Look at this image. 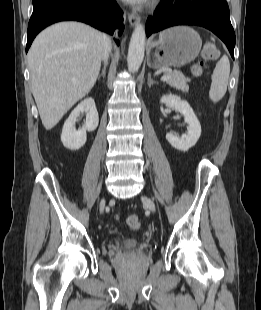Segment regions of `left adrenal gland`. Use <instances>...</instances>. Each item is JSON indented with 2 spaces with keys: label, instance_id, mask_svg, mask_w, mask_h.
<instances>
[{
  "label": "left adrenal gland",
  "instance_id": "a2214340",
  "mask_svg": "<svg viewBox=\"0 0 261 310\" xmlns=\"http://www.w3.org/2000/svg\"><path fill=\"white\" fill-rule=\"evenodd\" d=\"M154 84H158L156 81H154L151 77V74H148V87H151Z\"/></svg>",
  "mask_w": 261,
  "mask_h": 310
}]
</instances>
